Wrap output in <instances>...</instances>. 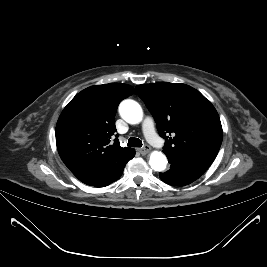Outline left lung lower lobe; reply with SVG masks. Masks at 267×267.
<instances>
[{"label": "left lung lower lobe", "mask_w": 267, "mask_h": 267, "mask_svg": "<svg viewBox=\"0 0 267 267\" xmlns=\"http://www.w3.org/2000/svg\"><path fill=\"white\" fill-rule=\"evenodd\" d=\"M165 155L171 166L167 172L159 173V177L169 185L184 186L190 184L207 170L203 166L181 160L173 154L165 153Z\"/></svg>", "instance_id": "0a47b994"}]
</instances>
